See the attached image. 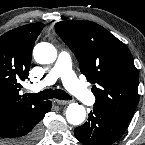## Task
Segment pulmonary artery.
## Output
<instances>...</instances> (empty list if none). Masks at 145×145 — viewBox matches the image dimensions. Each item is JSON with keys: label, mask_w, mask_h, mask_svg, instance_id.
Returning <instances> with one entry per match:
<instances>
[{"label": "pulmonary artery", "mask_w": 145, "mask_h": 145, "mask_svg": "<svg viewBox=\"0 0 145 145\" xmlns=\"http://www.w3.org/2000/svg\"><path fill=\"white\" fill-rule=\"evenodd\" d=\"M61 79L68 91L84 104H90L94 101L93 94L88 88L79 82L72 70L71 58L68 52L60 53L53 69L40 81L35 84L32 89L39 90L43 87L50 86Z\"/></svg>", "instance_id": "e3ab8cb5"}]
</instances>
